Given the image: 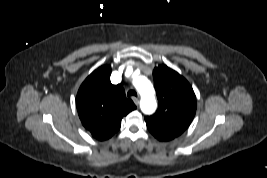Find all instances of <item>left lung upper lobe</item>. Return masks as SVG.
<instances>
[{
    "instance_id": "1",
    "label": "left lung upper lobe",
    "mask_w": 267,
    "mask_h": 178,
    "mask_svg": "<svg viewBox=\"0 0 267 178\" xmlns=\"http://www.w3.org/2000/svg\"><path fill=\"white\" fill-rule=\"evenodd\" d=\"M159 107L145 118L151 134L159 141L180 136L192 122L196 97L188 81L176 71L161 65L153 70Z\"/></svg>"
}]
</instances>
